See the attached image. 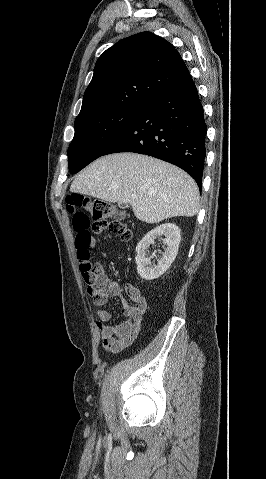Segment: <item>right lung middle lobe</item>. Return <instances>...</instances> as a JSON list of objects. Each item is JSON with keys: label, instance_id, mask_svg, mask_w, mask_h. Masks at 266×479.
Masks as SVG:
<instances>
[{"label": "right lung middle lobe", "instance_id": "right-lung-middle-lobe-1", "mask_svg": "<svg viewBox=\"0 0 266 479\" xmlns=\"http://www.w3.org/2000/svg\"><path fill=\"white\" fill-rule=\"evenodd\" d=\"M142 110L120 108L75 119V135L68 148L70 172L75 174L99 158Z\"/></svg>", "mask_w": 266, "mask_h": 479}]
</instances>
